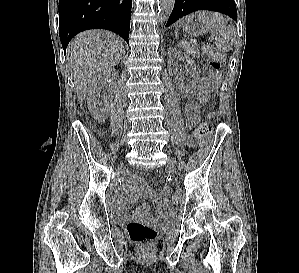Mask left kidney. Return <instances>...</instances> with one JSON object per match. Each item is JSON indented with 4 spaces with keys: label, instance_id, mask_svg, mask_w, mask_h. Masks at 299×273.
Segmentation results:
<instances>
[{
    "label": "left kidney",
    "instance_id": "1",
    "mask_svg": "<svg viewBox=\"0 0 299 273\" xmlns=\"http://www.w3.org/2000/svg\"><path fill=\"white\" fill-rule=\"evenodd\" d=\"M176 60H181L184 62L185 69L190 75L191 80L189 83H180L178 86L180 94L183 97H189L195 91L196 85L199 81L200 72L196 68L193 59L178 49H170L168 51V70L170 74H175L177 71Z\"/></svg>",
    "mask_w": 299,
    "mask_h": 273
}]
</instances>
